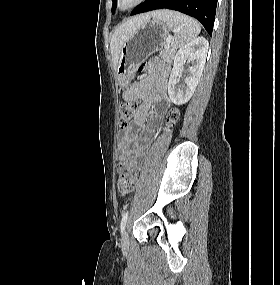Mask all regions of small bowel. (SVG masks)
Listing matches in <instances>:
<instances>
[{
  "mask_svg": "<svg viewBox=\"0 0 280 285\" xmlns=\"http://www.w3.org/2000/svg\"><path fill=\"white\" fill-rule=\"evenodd\" d=\"M170 77V69L164 66L157 74L151 72L145 74L137 83L130 86L123 94L125 100L142 98V102L136 112L134 122L142 128L141 132L135 133L124 130L119 136L117 170H130L135 172L138 168V157L143 153L155 133L156 125L147 123L150 107L159 104L160 109L155 113V118H162L170 109L167 97V86Z\"/></svg>",
  "mask_w": 280,
  "mask_h": 285,
  "instance_id": "obj_1",
  "label": "small bowel"
}]
</instances>
